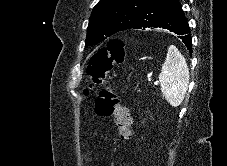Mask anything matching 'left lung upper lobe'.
Returning a JSON list of instances; mask_svg holds the SVG:
<instances>
[{
  "mask_svg": "<svg viewBox=\"0 0 227 166\" xmlns=\"http://www.w3.org/2000/svg\"><path fill=\"white\" fill-rule=\"evenodd\" d=\"M147 0H101L93 9L85 46L98 44L130 29Z\"/></svg>",
  "mask_w": 227,
  "mask_h": 166,
  "instance_id": "left-lung-upper-lobe-1",
  "label": "left lung upper lobe"
}]
</instances>
